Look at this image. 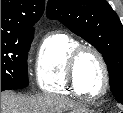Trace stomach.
<instances>
[{"label":"stomach","instance_id":"obj_1","mask_svg":"<svg viewBox=\"0 0 123 113\" xmlns=\"http://www.w3.org/2000/svg\"><path fill=\"white\" fill-rule=\"evenodd\" d=\"M74 113H88V112H83V111H82V112H74Z\"/></svg>","mask_w":123,"mask_h":113}]
</instances>
